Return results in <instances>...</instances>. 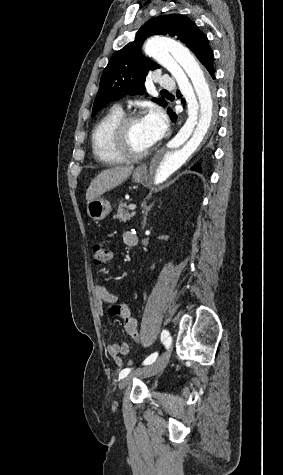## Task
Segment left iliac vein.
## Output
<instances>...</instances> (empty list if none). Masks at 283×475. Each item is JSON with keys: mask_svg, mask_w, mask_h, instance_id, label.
<instances>
[{"mask_svg": "<svg viewBox=\"0 0 283 475\" xmlns=\"http://www.w3.org/2000/svg\"><path fill=\"white\" fill-rule=\"evenodd\" d=\"M166 341L168 344L171 343V337H167ZM170 355L169 352H164L162 355H160L152 364H150L148 367L143 368L141 370H137L133 374H130L126 377H124L120 383L118 384L119 390L125 389L133 380L134 377L139 376L142 378H148L153 375H156L160 373L168 364Z\"/></svg>", "mask_w": 283, "mask_h": 475, "instance_id": "1", "label": "left iliac vein"}]
</instances>
